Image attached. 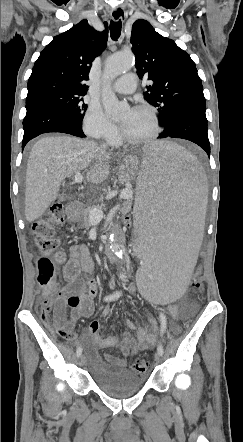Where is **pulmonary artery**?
<instances>
[{"label":"pulmonary artery","mask_w":243,"mask_h":442,"mask_svg":"<svg viewBox=\"0 0 243 442\" xmlns=\"http://www.w3.org/2000/svg\"><path fill=\"white\" fill-rule=\"evenodd\" d=\"M137 86V78L134 73L121 76L113 85V89L120 94L133 93Z\"/></svg>","instance_id":"pulmonary-artery-1"}]
</instances>
